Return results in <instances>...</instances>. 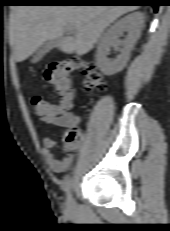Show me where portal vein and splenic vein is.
Here are the masks:
<instances>
[{
	"instance_id": "1",
	"label": "portal vein and splenic vein",
	"mask_w": 170,
	"mask_h": 231,
	"mask_svg": "<svg viewBox=\"0 0 170 231\" xmlns=\"http://www.w3.org/2000/svg\"><path fill=\"white\" fill-rule=\"evenodd\" d=\"M67 31H68L69 33H73V32H74V30H73L71 27H68V28H67Z\"/></svg>"
}]
</instances>
